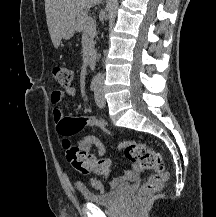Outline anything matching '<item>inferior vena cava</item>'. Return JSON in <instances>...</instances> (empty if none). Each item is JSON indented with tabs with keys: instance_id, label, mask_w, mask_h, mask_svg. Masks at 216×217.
<instances>
[{
	"instance_id": "602c4592",
	"label": "inferior vena cava",
	"mask_w": 216,
	"mask_h": 217,
	"mask_svg": "<svg viewBox=\"0 0 216 217\" xmlns=\"http://www.w3.org/2000/svg\"><path fill=\"white\" fill-rule=\"evenodd\" d=\"M104 76L101 73H98L97 75V81L103 83Z\"/></svg>"
}]
</instances>
